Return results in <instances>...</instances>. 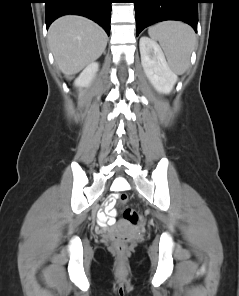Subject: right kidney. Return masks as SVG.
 I'll use <instances>...</instances> for the list:
<instances>
[{
    "label": "right kidney",
    "instance_id": "1",
    "mask_svg": "<svg viewBox=\"0 0 239 296\" xmlns=\"http://www.w3.org/2000/svg\"><path fill=\"white\" fill-rule=\"evenodd\" d=\"M99 69V64L97 62L90 63L75 79V87L82 89L88 87L92 80L95 78L96 73Z\"/></svg>",
    "mask_w": 239,
    "mask_h": 296
}]
</instances>
